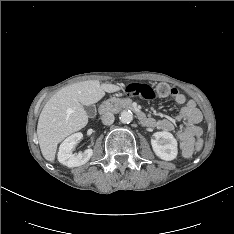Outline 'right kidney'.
Segmentation results:
<instances>
[{
    "label": "right kidney",
    "instance_id": "right-kidney-1",
    "mask_svg": "<svg viewBox=\"0 0 234 234\" xmlns=\"http://www.w3.org/2000/svg\"><path fill=\"white\" fill-rule=\"evenodd\" d=\"M83 134L78 132L67 137L60 145L58 152V161L67 167H78L87 163L93 155L92 149L84 152L72 153V150L82 139Z\"/></svg>",
    "mask_w": 234,
    "mask_h": 234
}]
</instances>
